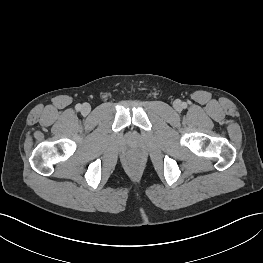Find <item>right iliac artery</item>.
<instances>
[{
    "label": "right iliac artery",
    "instance_id": "1",
    "mask_svg": "<svg viewBox=\"0 0 263 263\" xmlns=\"http://www.w3.org/2000/svg\"><path fill=\"white\" fill-rule=\"evenodd\" d=\"M75 108L77 111H80L81 110V104H77Z\"/></svg>",
    "mask_w": 263,
    "mask_h": 263
}]
</instances>
